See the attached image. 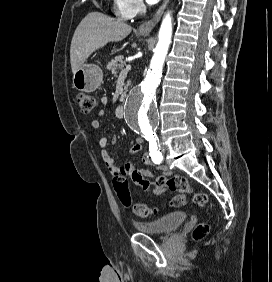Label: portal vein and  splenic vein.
I'll return each mask as SVG.
<instances>
[{
  "instance_id": "portal-vein-and-splenic-vein-1",
  "label": "portal vein and splenic vein",
  "mask_w": 272,
  "mask_h": 282,
  "mask_svg": "<svg viewBox=\"0 0 272 282\" xmlns=\"http://www.w3.org/2000/svg\"><path fill=\"white\" fill-rule=\"evenodd\" d=\"M130 70H131V65L128 64V65H126V68L121 71L120 75L127 74V72L130 71Z\"/></svg>"
}]
</instances>
